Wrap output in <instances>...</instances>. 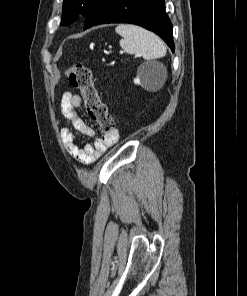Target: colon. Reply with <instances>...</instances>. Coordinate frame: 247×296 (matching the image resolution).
Segmentation results:
<instances>
[{
	"instance_id": "colon-1",
	"label": "colon",
	"mask_w": 247,
	"mask_h": 296,
	"mask_svg": "<svg viewBox=\"0 0 247 296\" xmlns=\"http://www.w3.org/2000/svg\"><path fill=\"white\" fill-rule=\"evenodd\" d=\"M66 76L70 85L80 90L89 118L98 123L102 132L112 133L115 121L110 115L107 105L100 98L93 82L91 70L82 63H76L68 68Z\"/></svg>"
}]
</instances>
